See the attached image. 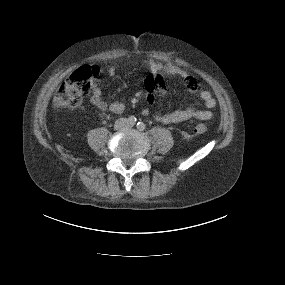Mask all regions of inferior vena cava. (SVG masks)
Returning a JSON list of instances; mask_svg holds the SVG:
<instances>
[{"mask_svg":"<svg viewBox=\"0 0 285 285\" xmlns=\"http://www.w3.org/2000/svg\"><path fill=\"white\" fill-rule=\"evenodd\" d=\"M130 127L129 122L126 118H120L115 122L114 128L116 130H125Z\"/></svg>","mask_w":285,"mask_h":285,"instance_id":"1","label":"inferior vena cava"}]
</instances>
